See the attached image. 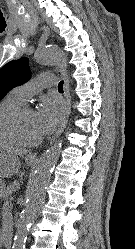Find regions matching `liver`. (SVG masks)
Wrapping results in <instances>:
<instances>
[{"mask_svg": "<svg viewBox=\"0 0 135 249\" xmlns=\"http://www.w3.org/2000/svg\"><path fill=\"white\" fill-rule=\"evenodd\" d=\"M2 149H4V150H6V151H8L9 153H11V154H14V155H20V156H22V155H24L26 152L24 151V150H22V149H16V148H13V147H8V146H6V147H4V148H2Z\"/></svg>", "mask_w": 135, "mask_h": 249, "instance_id": "obj_1", "label": "liver"}]
</instances>
